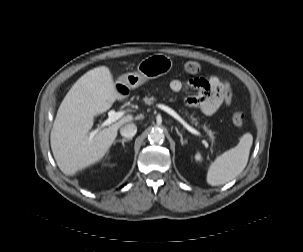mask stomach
Listing matches in <instances>:
<instances>
[{"instance_id":"obj_1","label":"stomach","mask_w":303,"mask_h":252,"mask_svg":"<svg viewBox=\"0 0 303 252\" xmlns=\"http://www.w3.org/2000/svg\"><path fill=\"white\" fill-rule=\"evenodd\" d=\"M172 66L173 62L170 57L164 54L151 55L138 64L136 72L120 76L116 82V86L128 91L135 89L147 80L167 74L172 69Z\"/></svg>"}]
</instances>
